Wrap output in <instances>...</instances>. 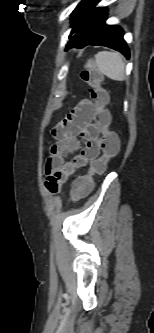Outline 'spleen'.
Masks as SVG:
<instances>
[{
    "label": "spleen",
    "instance_id": "3e777b00",
    "mask_svg": "<svg viewBox=\"0 0 154 333\" xmlns=\"http://www.w3.org/2000/svg\"><path fill=\"white\" fill-rule=\"evenodd\" d=\"M96 65L104 75L116 81L125 79V64L121 54L101 51L95 55Z\"/></svg>",
    "mask_w": 154,
    "mask_h": 333
}]
</instances>
